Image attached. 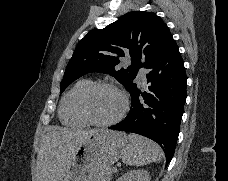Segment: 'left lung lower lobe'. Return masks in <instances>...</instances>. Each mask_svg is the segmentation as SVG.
<instances>
[{"mask_svg": "<svg viewBox=\"0 0 228 181\" xmlns=\"http://www.w3.org/2000/svg\"><path fill=\"white\" fill-rule=\"evenodd\" d=\"M150 83L146 90L136 84L130 91L127 117L109 129L133 132L157 142L171 161L186 100L184 62L172 37L143 66Z\"/></svg>", "mask_w": 228, "mask_h": 181, "instance_id": "0a47b994", "label": "left lung lower lobe"}]
</instances>
